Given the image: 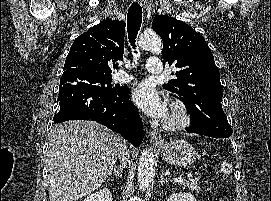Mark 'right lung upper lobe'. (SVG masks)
<instances>
[{
	"instance_id": "right-lung-upper-lobe-1",
	"label": "right lung upper lobe",
	"mask_w": 271,
	"mask_h": 201,
	"mask_svg": "<svg viewBox=\"0 0 271 201\" xmlns=\"http://www.w3.org/2000/svg\"><path fill=\"white\" fill-rule=\"evenodd\" d=\"M125 23L104 20L81 34L73 42L67 55L64 72L83 69L111 75L112 64L123 60Z\"/></svg>"
}]
</instances>
